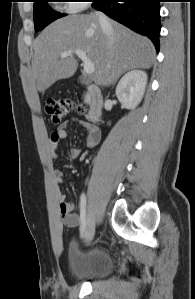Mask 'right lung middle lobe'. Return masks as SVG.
Instances as JSON below:
<instances>
[{
  "mask_svg": "<svg viewBox=\"0 0 195 299\" xmlns=\"http://www.w3.org/2000/svg\"><path fill=\"white\" fill-rule=\"evenodd\" d=\"M34 1V25L35 31H40L45 26L53 22L54 20L63 16V14L57 13L52 10L48 4V0H33Z\"/></svg>",
  "mask_w": 195,
  "mask_h": 299,
  "instance_id": "1",
  "label": "right lung middle lobe"
}]
</instances>
